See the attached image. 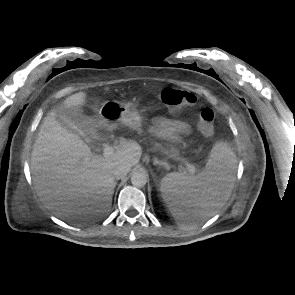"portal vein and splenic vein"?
Segmentation results:
<instances>
[{
	"instance_id": "obj_1",
	"label": "portal vein and splenic vein",
	"mask_w": 295,
	"mask_h": 295,
	"mask_svg": "<svg viewBox=\"0 0 295 295\" xmlns=\"http://www.w3.org/2000/svg\"><path fill=\"white\" fill-rule=\"evenodd\" d=\"M114 154V148L112 146H106L103 150L104 157H110ZM186 169L191 173H195V166L191 163H188L186 165Z\"/></svg>"
}]
</instances>
